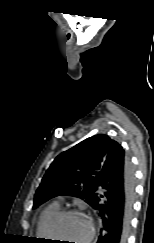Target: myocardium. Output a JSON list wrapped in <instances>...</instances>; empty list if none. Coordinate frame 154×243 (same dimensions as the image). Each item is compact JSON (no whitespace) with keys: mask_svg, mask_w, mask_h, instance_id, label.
Here are the masks:
<instances>
[{"mask_svg":"<svg viewBox=\"0 0 154 243\" xmlns=\"http://www.w3.org/2000/svg\"><path fill=\"white\" fill-rule=\"evenodd\" d=\"M71 215H79L84 217L89 224V231L88 234L85 238V240L83 241V243H91V241L94 238L95 235V224L93 219L87 215L85 212L78 210V209H63L60 210L50 221L49 223V227H48V232H49V236L50 238H56L55 236V230L57 225L59 224V222L64 219L67 216H71Z\"/></svg>","mask_w":154,"mask_h":243,"instance_id":"myocardium-1","label":"myocardium"}]
</instances>
